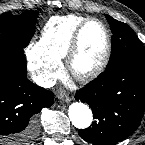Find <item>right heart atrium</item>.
I'll return each instance as SVG.
<instances>
[{
	"label": "right heart atrium",
	"mask_w": 145,
	"mask_h": 145,
	"mask_svg": "<svg viewBox=\"0 0 145 145\" xmlns=\"http://www.w3.org/2000/svg\"><path fill=\"white\" fill-rule=\"evenodd\" d=\"M28 60L35 78L44 85L51 84L60 72V61L42 53L36 44L29 47Z\"/></svg>",
	"instance_id": "d8ad5b80"
}]
</instances>
